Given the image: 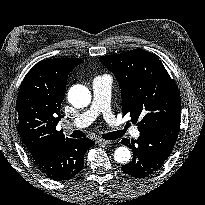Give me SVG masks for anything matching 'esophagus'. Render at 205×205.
I'll return each instance as SVG.
<instances>
[{
	"label": "esophagus",
	"instance_id": "1",
	"mask_svg": "<svg viewBox=\"0 0 205 205\" xmlns=\"http://www.w3.org/2000/svg\"><path fill=\"white\" fill-rule=\"evenodd\" d=\"M98 142L101 143V144H103V145H109V144L112 143V141L104 140V139H99Z\"/></svg>",
	"mask_w": 205,
	"mask_h": 205
}]
</instances>
